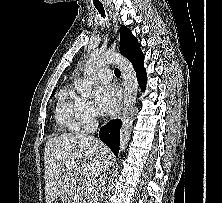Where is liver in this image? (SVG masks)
<instances>
[{"mask_svg": "<svg viewBox=\"0 0 222 203\" xmlns=\"http://www.w3.org/2000/svg\"><path fill=\"white\" fill-rule=\"evenodd\" d=\"M111 159L110 150L97 138L80 133L50 138L44 153L46 203L73 196L79 176L94 184Z\"/></svg>", "mask_w": 222, "mask_h": 203, "instance_id": "liver-1", "label": "liver"}]
</instances>
